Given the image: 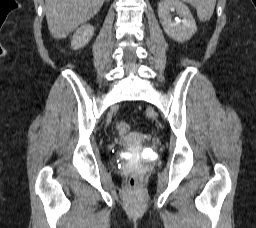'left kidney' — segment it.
<instances>
[{
  "instance_id": "5707ae66",
  "label": "left kidney",
  "mask_w": 256,
  "mask_h": 228,
  "mask_svg": "<svg viewBox=\"0 0 256 228\" xmlns=\"http://www.w3.org/2000/svg\"><path fill=\"white\" fill-rule=\"evenodd\" d=\"M170 11H176L183 17L182 21H173ZM158 16L165 33L177 42L189 40L197 31L189 8L179 0H162L158 4Z\"/></svg>"
}]
</instances>
